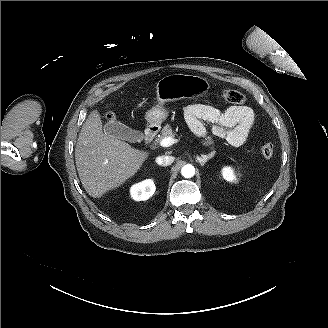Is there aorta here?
<instances>
[{
	"instance_id": "1",
	"label": "aorta",
	"mask_w": 328,
	"mask_h": 328,
	"mask_svg": "<svg viewBox=\"0 0 328 328\" xmlns=\"http://www.w3.org/2000/svg\"><path fill=\"white\" fill-rule=\"evenodd\" d=\"M181 174L185 178L193 177L194 174H195L194 166L191 165V164H187V165L183 166L182 169H181Z\"/></svg>"
}]
</instances>
